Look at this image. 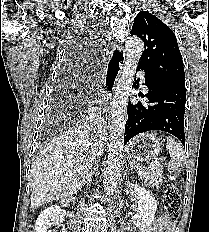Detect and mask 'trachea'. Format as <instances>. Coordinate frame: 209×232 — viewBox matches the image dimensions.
Masks as SVG:
<instances>
[{"label":"trachea","instance_id":"obj_1","mask_svg":"<svg viewBox=\"0 0 209 232\" xmlns=\"http://www.w3.org/2000/svg\"><path fill=\"white\" fill-rule=\"evenodd\" d=\"M110 82V77L108 76V73H107V78H106V85H108Z\"/></svg>","mask_w":209,"mask_h":232}]
</instances>
